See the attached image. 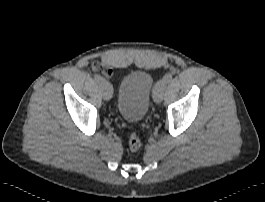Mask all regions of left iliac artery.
<instances>
[{"mask_svg":"<svg viewBox=\"0 0 265 202\" xmlns=\"http://www.w3.org/2000/svg\"><path fill=\"white\" fill-rule=\"evenodd\" d=\"M167 83L172 80V75L170 73L166 74L163 78ZM159 82L156 84V87L158 86Z\"/></svg>","mask_w":265,"mask_h":202,"instance_id":"44dca946","label":"left iliac artery"}]
</instances>
